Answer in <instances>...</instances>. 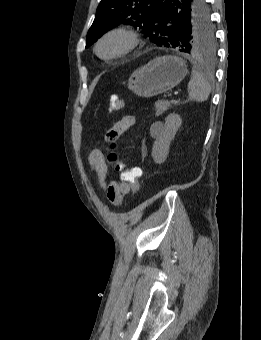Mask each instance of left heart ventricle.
Masks as SVG:
<instances>
[{"instance_id":"left-heart-ventricle-1","label":"left heart ventricle","mask_w":261,"mask_h":340,"mask_svg":"<svg viewBox=\"0 0 261 340\" xmlns=\"http://www.w3.org/2000/svg\"><path fill=\"white\" fill-rule=\"evenodd\" d=\"M124 45L125 41L121 37H111L102 44L100 51L104 56H109L120 51Z\"/></svg>"}]
</instances>
